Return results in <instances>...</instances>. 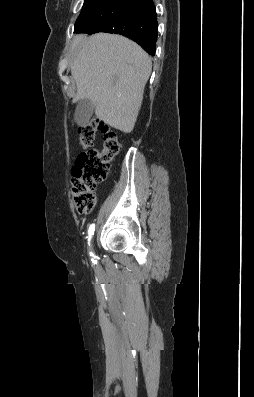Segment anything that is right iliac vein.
I'll list each match as a JSON object with an SVG mask.
<instances>
[{
  "label": "right iliac vein",
  "mask_w": 254,
  "mask_h": 397,
  "mask_svg": "<svg viewBox=\"0 0 254 397\" xmlns=\"http://www.w3.org/2000/svg\"><path fill=\"white\" fill-rule=\"evenodd\" d=\"M90 248H91V249L93 248V243H92V242L90 243Z\"/></svg>",
  "instance_id": "right-iliac-vein-1"
}]
</instances>
